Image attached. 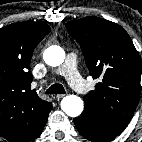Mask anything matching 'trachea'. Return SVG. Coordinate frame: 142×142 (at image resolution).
Here are the masks:
<instances>
[{"label":"trachea","mask_w":142,"mask_h":142,"mask_svg":"<svg viewBox=\"0 0 142 142\" xmlns=\"http://www.w3.org/2000/svg\"><path fill=\"white\" fill-rule=\"evenodd\" d=\"M46 94H64L65 89L61 84H54L45 92Z\"/></svg>","instance_id":"3493384b"}]
</instances>
